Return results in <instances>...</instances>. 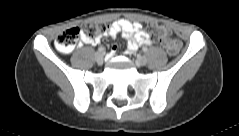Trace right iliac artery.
Masks as SVG:
<instances>
[{"mask_svg": "<svg viewBox=\"0 0 239 136\" xmlns=\"http://www.w3.org/2000/svg\"><path fill=\"white\" fill-rule=\"evenodd\" d=\"M98 51H99V52H105V48H104V47H100V48L98 49Z\"/></svg>", "mask_w": 239, "mask_h": 136, "instance_id": "obj_1", "label": "right iliac artery"}]
</instances>
